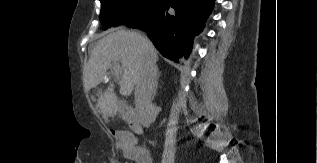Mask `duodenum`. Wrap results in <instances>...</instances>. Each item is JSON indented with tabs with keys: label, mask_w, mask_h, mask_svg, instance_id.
Instances as JSON below:
<instances>
[{
	"label": "duodenum",
	"mask_w": 317,
	"mask_h": 163,
	"mask_svg": "<svg viewBox=\"0 0 317 163\" xmlns=\"http://www.w3.org/2000/svg\"><path fill=\"white\" fill-rule=\"evenodd\" d=\"M121 114H122L123 119L128 124V126L130 127V129L133 133H135V134L142 133L143 126H142V123L140 121V117H139L138 113L133 108L123 104ZM129 138H130L131 143L133 144L134 151L138 156H142L144 153L148 152L145 148L136 145L131 137H129Z\"/></svg>",
	"instance_id": "obj_1"
}]
</instances>
